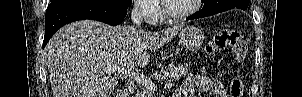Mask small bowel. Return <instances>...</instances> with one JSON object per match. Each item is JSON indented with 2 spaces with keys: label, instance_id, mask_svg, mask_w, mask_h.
<instances>
[{
  "label": "small bowel",
  "instance_id": "1",
  "mask_svg": "<svg viewBox=\"0 0 302 97\" xmlns=\"http://www.w3.org/2000/svg\"><path fill=\"white\" fill-rule=\"evenodd\" d=\"M196 88L214 97H229L223 84V78L220 75L212 77L190 75L175 95H178V97H195Z\"/></svg>",
  "mask_w": 302,
  "mask_h": 97
}]
</instances>
